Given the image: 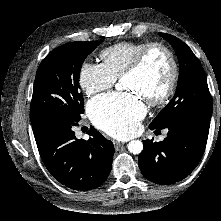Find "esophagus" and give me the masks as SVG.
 I'll return each mask as SVG.
<instances>
[{"instance_id": "1", "label": "esophagus", "mask_w": 221, "mask_h": 221, "mask_svg": "<svg viewBox=\"0 0 221 221\" xmlns=\"http://www.w3.org/2000/svg\"><path fill=\"white\" fill-rule=\"evenodd\" d=\"M113 145H114L115 149L118 150L122 145H124V143L113 140Z\"/></svg>"}]
</instances>
